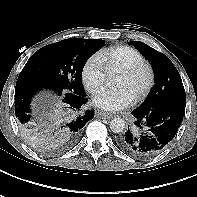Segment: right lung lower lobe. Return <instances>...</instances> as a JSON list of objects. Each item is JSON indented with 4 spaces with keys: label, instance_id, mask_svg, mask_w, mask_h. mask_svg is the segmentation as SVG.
<instances>
[{
    "label": "right lung lower lobe",
    "instance_id": "obj_1",
    "mask_svg": "<svg viewBox=\"0 0 197 197\" xmlns=\"http://www.w3.org/2000/svg\"><path fill=\"white\" fill-rule=\"evenodd\" d=\"M42 90H49L58 100L48 108L35 113L31 102ZM88 100L85 96L62 91L47 77L21 72L15 87V114L24 133L42 143L71 147L78 139L82 128L94 117L92 110L79 114Z\"/></svg>",
    "mask_w": 197,
    "mask_h": 197
}]
</instances>
